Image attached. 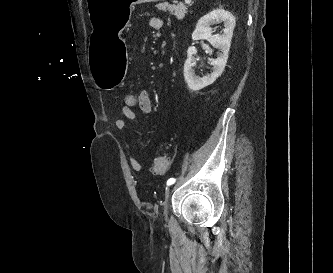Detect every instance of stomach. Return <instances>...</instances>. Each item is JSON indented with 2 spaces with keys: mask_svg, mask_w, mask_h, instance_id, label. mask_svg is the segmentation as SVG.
I'll return each mask as SVG.
<instances>
[{
  "mask_svg": "<svg viewBox=\"0 0 333 273\" xmlns=\"http://www.w3.org/2000/svg\"><path fill=\"white\" fill-rule=\"evenodd\" d=\"M158 1L161 0H87L95 28L87 51L92 56L90 67L98 87L111 90L125 79L129 58L126 44L120 38L131 19L129 10L137 4Z\"/></svg>",
  "mask_w": 333,
  "mask_h": 273,
  "instance_id": "stomach-1",
  "label": "stomach"
}]
</instances>
